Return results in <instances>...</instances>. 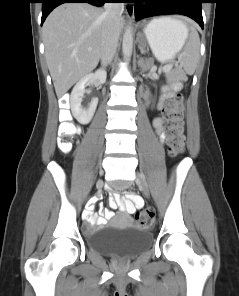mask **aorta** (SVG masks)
Segmentation results:
<instances>
[{"instance_id": "aorta-1", "label": "aorta", "mask_w": 239, "mask_h": 296, "mask_svg": "<svg viewBox=\"0 0 239 296\" xmlns=\"http://www.w3.org/2000/svg\"><path fill=\"white\" fill-rule=\"evenodd\" d=\"M133 49V33L131 25L125 29L122 42V51L125 59H129L132 55Z\"/></svg>"}]
</instances>
